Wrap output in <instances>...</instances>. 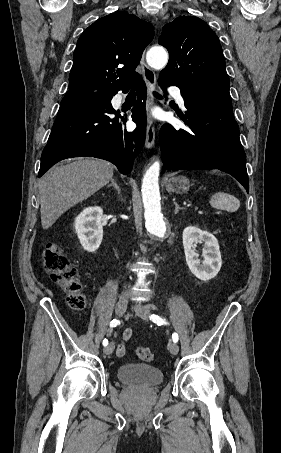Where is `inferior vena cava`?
<instances>
[{
    "label": "inferior vena cava",
    "mask_w": 281,
    "mask_h": 453,
    "mask_svg": "<svg viewBox=\"0 0 281 453\" xmlns=\"http://www.w3.org/2000/svg\"><path fill=\"white\" fill-rule=\"evenodd\" d=\"M121 301H128V295H127V293H122V295H121Z\"/></svg>",
    "instance_id": "inferior-vena-cava-1"
}]
</instances>
